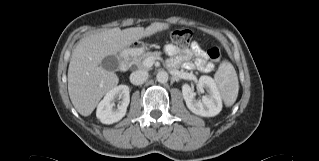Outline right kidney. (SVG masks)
I'll return each mask as SVG.
<instances>
[{"label":"right kidney","instance_id":"obj_1","mask_svg":"<svg viewBox=\"0 0 319 161\" xmlns=\"http://www.w3.org/2000/svg\"><path fill=\"white\" fill-rule=\"evenodd\" d=\"M118 102L115 108V102ZM130 102L129 87L119 85L106 93L98 104L96 116L103 124H113L120 121L126 114Z\"/></svg>","mask_w":319,"mask_h":161}]
</instances>
